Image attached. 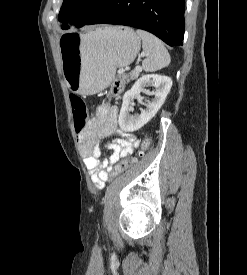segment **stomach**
Here are the masks:
<instances>
[{
    "label": "stomach",
    "instance_id": "obj_1",
    "mask_svg": "<svg viewBox=\"0 0 247 275\" xmlns=\"http://www.w3.org/2000/svg\"><path fill=\"white\" fill-rule=\"evenodd\" d=\"M140 47V37L129 27L63 34L59 48L67 87L81 95L101 92L111 84L117 68L134 61Z\"/></svg>",
    "mask_w": 247,
    "mask_h": 275
}]
</instances>
